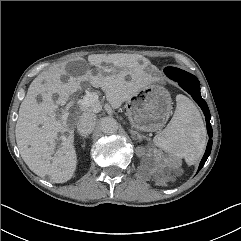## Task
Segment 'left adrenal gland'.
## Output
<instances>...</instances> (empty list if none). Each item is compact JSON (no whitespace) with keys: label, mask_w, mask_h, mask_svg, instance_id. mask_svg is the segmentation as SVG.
Wrapping results in <instances>:
<instances>
[{"label":"left adrenal gland","mask_w":241,"mask_h":241,"mask_svg":"<svg viewBox=\"0 0 241 241\" xmlns=\"http://www.w3.org/2000/svg\"><path fill=\"white\" fill-rule=\"evenodd\" d=\"M130 132L132 133L133 136H136L139 140H142L143 137L138 132L133 130H130Z\"/></svg>","instance_id":"a2214340"}]
</instances>
